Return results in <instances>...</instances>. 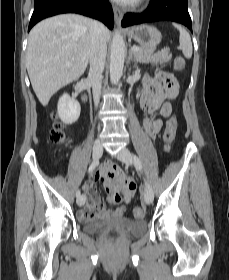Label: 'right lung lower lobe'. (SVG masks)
I'll list each match as a JSON object with an SVG mask.
<instances>
[{
  "mask_svg": "<svg viewBox=\"0 0 229 280\" xmlns=\"http://www.w3.org/2000/svg\"><path fill=\"white\" fill-rule=\"evenodd\" d=\"M62 13H78L114 26L113 11L107 0H34L28 31L40 20Z\"/></svg>",
  "mask_w": 229,
  "mask_h": 280,
  "instance_id": "obj_1",
  "label": "right lung lower lobe"
}]
</instances>
